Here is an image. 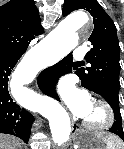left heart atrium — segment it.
Segmentation results:
<instances>
[{
	"instance_id": "left-heart-atrium-1",
	"label": "left heart atrium",
	"mask_w": 124,
	"mask_h": 149,
	"mask_svg": "<svg viewBox=\"0 0 124 149\" xmlns=\"http://www.w3.org/2000/svg\"><path fill=\"white\" fill-rule=\"evenodd\" d=\"M57 91L73 114L81 118L88 116L93 104L86 91L76 88L68 78L59 81Z\"/></svg>"
}]
</instances>
